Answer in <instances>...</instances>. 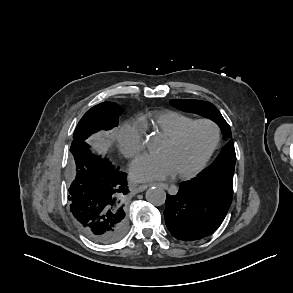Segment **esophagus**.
I'll return each mask as SVG.
<instances>
[{"label":"esophagus","mask_w":293,"mask_h":293,"mask_svg":"<svg viewBox=\"0 0 293 293\" xmlns=\"http://www.w3.org/2000/svg\"><path fill=\"white\" fill-rule=\"evenodd\" d=\"M157 186H160L162 187L163 189H168V184H165V183H157L155 184ZM150 185H146V184H143V185H139L137 187V192H143L144 190H146Z\"/></svg>","instance_id":"obj_1"}]
</instances>
